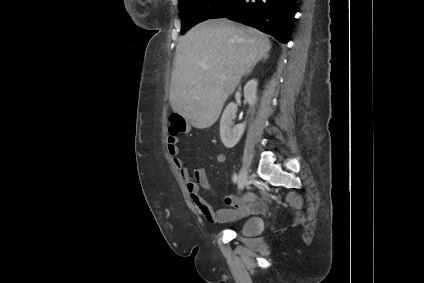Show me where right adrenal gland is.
I'll return each mask as SVG.
<instances>
[{"mask_svg": "<svg viewBox=\"0 0 424 283\" xmlns=\"http://www.w3.org/2000/svg\"><path fill=\"white\" fill-rule=\"evenodd\" d=\"M268 57L264 56L263 59L266 60ZM256 63H253V65L247 69L246 73L244 74V76H247L249 73H251V71L253 70V68L255 67Z\"/></svg>", "mask_w": 424, "mask_h": 283, "instance_id": "right-adrenal-gland-1", "label": "right adrenal gland"}]
</instances>
